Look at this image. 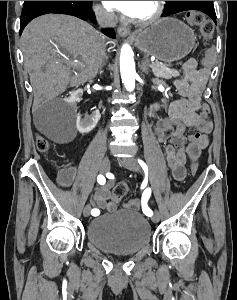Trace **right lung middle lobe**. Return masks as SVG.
Listing matches in <instances>:
<instances>
[{"mask_svg": "<svg viewBox=\"0 0 237 300\" xmlns=\"http://www.w3.org/2000/svg\"><path fill=\"white\" fill-rule=\"evenodd\" d=\"M45 2H48V1H24L23 10H27L31 7H34L36 5H39V4H42Z\"/></svg>", "mask_w": 237, "mask_h": 300, "instance_id": "right-lung-middle-lobe-1", "label": "right lung middle lobe"}]
</instances>
